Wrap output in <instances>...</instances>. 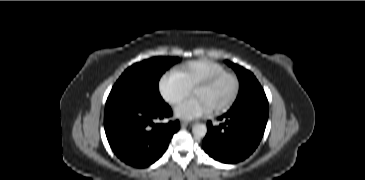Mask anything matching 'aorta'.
<instances>
[{
    "label": "aorta",
    "mask_w": 365,
    "mask_h": 180,
    "mask_svg": "<svg viewBox=\"0 0 365 180\" xmlns=\"http://www.w3.org/2000/svg\"><path fill=\"white\" fill-rule=\"evenodd\" d=\"M192 132L195 137H203L207 132V127L205 124L198 123L192 127Z\"/></svg>",
    "instance_id": "aorta-1"
}]
</instances>
